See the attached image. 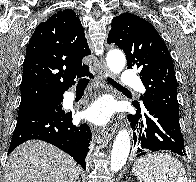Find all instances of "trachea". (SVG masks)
I'll list each match as a JSON object with an SVG mask.
<instances>
[{"label": "trachea", "instance_id": "3493384b", "mask_svg": "<svg viewBox=\"0 0 196 182\" xmlns=\"http://www.w3.org/2000/svg\"><path fill=\"white\" fill-rule=\"evenodd\" d=\"M107 80L110 84L114 85V86H121L120 84H118L117 82H115L112 78L107 77ZM89 83V79L87 78H82L79 80L78 85H87Z\"/></svg>", "mask_w": 196, "mask_h": 182}]
</instances>
